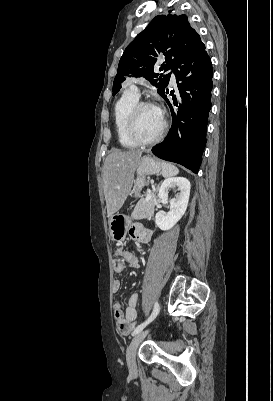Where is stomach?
Returning a JSON list of instances; mask_svg holds the SVG:
<instances>
[{
  "label": "stomach",
  "instance_id": "0dacf381",
  "mask_svg": "<svg viewBox=\"0 0 273 401\" xmlns=\"http://www.w3.org/2000/svg\"><path fill=\"white\" fill-rule=\"evenodd\" d=\"M162 164L157 158L152 156H143L141 158L137 168V176L134 180V186L132 192L134 196H141V190L146 182V174H159L161 172ZM131 223L130 217L126 215H112L109 219L110 237L112 241H124L126 239L128 227Z\"/></svg>",
  "mask_w": 273,
  "mask_h": 401
}]
</instances>
